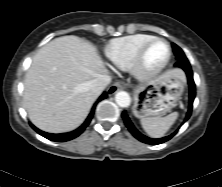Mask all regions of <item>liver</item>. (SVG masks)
<instances>
[{
	"label": "liver",
	"instance_id": "liver-1",
	"mask_svg": "<svg viewBox=\"0 0 222 187\" xmlns=\"http://www.w3.org/2000/svg\"><path fill=\"white\" fill-rule=\"evenodd\" d=\"M106 72L91 43L73 35L53 39L37 52L25 76L23 104L30 120L50 133L76 129L98 97L92 80Z\"/></svg>",
	"mask_w": 222,
	"mask_h": 187
}]
</instances>
